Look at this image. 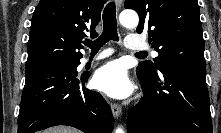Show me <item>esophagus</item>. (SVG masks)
Listing matches in <instances>:
<instances>
[{"instance_id": "esophagus-1", "label": "esophagus", "mask_w": 221, "mask_h": 133, "mask_svg": "<svg viewBox=\"0 0 221 133\" xmlns=\"http://www.w3.org/2000/svg\"><path fill=\"white\" fill-rule=\"evenodd\" d=\"M115 2H116V6L118 8H120L121 5H122V0H116ZM111 110H112L113 116L115 118H118L122 113L121 107L118 104H115V103L111 104Z\"/></svg>"}]
</instances>
